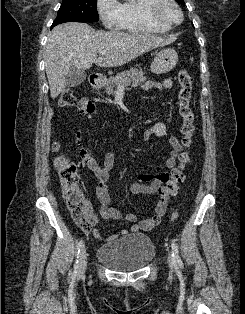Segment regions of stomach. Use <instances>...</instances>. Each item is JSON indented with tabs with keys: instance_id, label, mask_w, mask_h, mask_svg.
Instances as JSON below:
<instances>
[{
	"instance_id": "1",
	"label": "stomach",
	"mask_w": 245,
	"mask_h": 314,
	"mask_svg": "<svg viewBox=\"0 0 245 314\" xmlns=\"http://www.w3.org/2000/svg\"><path fill=\"white\" fill-rule=\"evenodd\" d=\"M178 54L174 49L164 48L151 63V71L155 74H163L171 71L177 64Z\"/></svg>"
}]
</instances>
